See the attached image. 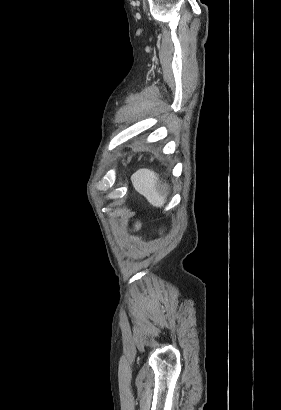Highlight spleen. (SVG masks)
I'll return each instance as SVG.
<instances>
[{
  "label": "spleen",
  "instance_id": "3e777b00",
  "mask_svg": "<svg viewBox=\"0 0 281 410\" xmlns=\"http://www.w3.org/2000/svg\"><path fill=\"white\" fill-rule=\"evenodd\" d=\"M135 190L143 195L154 207H163L168 195V187L161 184L156 173L149 169H139L131 177Z\"/></svg>",
  "mask_w": 281,
  "mask_h": 410
}]
</instances>
